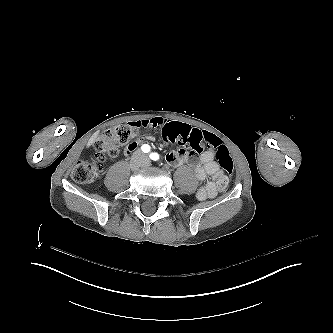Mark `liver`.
I'll return each instance as SVG.
<instances>
[{
    "label": "liver",
    "mask_w": 333,
    "mask_h": 333,
    "mask_svg": "<svg viewBox=\"0 0 333 333\" xmlns=\"http://www.w3.org/2000/svg\"><path fill=\"white\" fill-rule=\"evenodd\" d=\"M101 130H97L96 132L93 133V135L90 137V139L88 140L85 148L88 150L90 149L96 142L98 136L100 135Z\"/></svg>",
    "instance_id": "6515ba94"
}]
</instances>
